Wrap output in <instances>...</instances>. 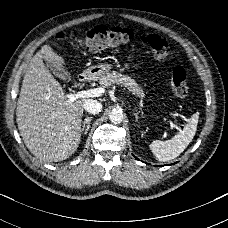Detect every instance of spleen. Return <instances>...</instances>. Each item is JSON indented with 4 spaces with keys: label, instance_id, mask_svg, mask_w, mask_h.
I'll use <instances>...</instances> for the list:
<instances>
[{
    "label": "spleen",
    "instance_id": "1",
    "mask_svg": "<svg viewBox=\"0 0 228 228\" xmlns=\"http://www.w3.org/2000/svg\"><path fill=\"white\" fill-rule=\"evenodd\" d=\"M198 124V114L194 113L183 130L176 134L171 140H154L149 145V150L159 161H170L178 157L193 140Z\"/></svg>",
    "mask_w": 228,
    "mask_h": 228
}]
</instances>
